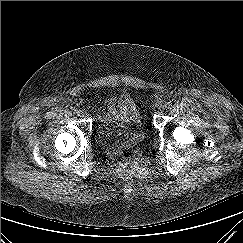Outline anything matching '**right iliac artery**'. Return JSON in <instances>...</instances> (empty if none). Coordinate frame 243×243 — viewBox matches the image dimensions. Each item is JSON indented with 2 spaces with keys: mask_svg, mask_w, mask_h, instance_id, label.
<instances>
[{
  "mask_svg": "<svg viewBox=\"0 0 243 243\" xmlns=\"http://www.w3.org/2000/svg\"><path fill=\"white\" fill-rule=\"evenodd\" d=\"M72 111H73V113H78V109H76V108H73Z\"/></svg>",
  "mask_w": 243,
  "mask_h": 243,
  "instance_id": "obj_1",
  "label": "right iliac artery"
}]
</instances>
